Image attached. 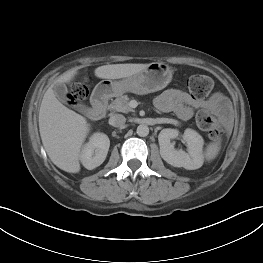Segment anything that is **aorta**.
<instances>
[{
	"instance_id": "aorta-1",
	"label": "aorta",
	"mask_w": 263,
	"mask_h": 263,
	"mask_svg": "<svg viewBox=\"0 0 263 263\" xmlns=\"http://www.w3.org/2000/svg\"><path fill=\"white\" fill-rule=\"evenodd\" d=\"M136 133L140 137H146L149 134V127L145 124H141L137 127Z\"/></svg>"
}]
</instances>
